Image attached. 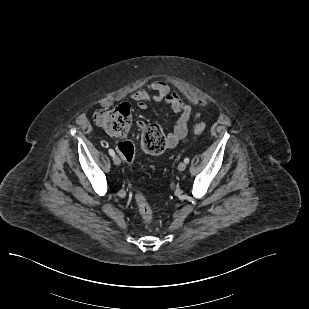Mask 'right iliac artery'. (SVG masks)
<instances>
[{"label":"right iliac artery","instance_id":"82829eb1","mask_svg":"<svg viewBox=\"0 0 309 309\" xmlns=\"http://www.w3.org/2000/svg\"><path fill=\"white\" fill-rule=\"evenodd\" d=\"M108 152H109V154H110L112 157H114V156H115V152H114V150L109 149V150H108Z\"/></svg>","mask_w":309,"mask_h":309}]
</instances>
